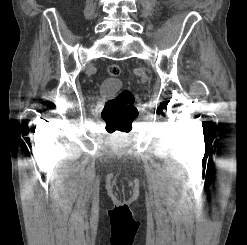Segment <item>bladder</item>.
<instances>
[{
	"instance_id": "obj_1",
	"label": "bladder",
	"mask_w": 247,
	"mask_h": 245,
	"mask_svg": "<svg viewBox=\"0 0 247 245\" xmlns=\"http://www.w3.org/2000/svg\"><path fill=\"white\" fill-rule=\"evenodd\" d=\"M121 87V81L116 77H107L105 78L99 87L101 94H109Z\"/></svg>"
}]
</instances>
